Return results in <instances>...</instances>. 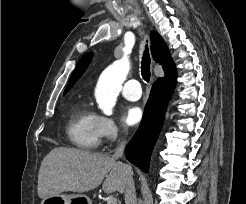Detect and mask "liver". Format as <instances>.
Masks as SVG:
<instances>
[{
    "instance_id": "1",
    "label": "liver",
    "mask_w": 246,
    "mask_h": 204,
    "mask_svg": "<svg viewBox=\"0 0 246 204\" xmlns=\"http://www.w3.org/2000/svg\"><path fill=\"white\" fill-rule=\"evenodd\" d=\"M128 177L125 164L109 155L57 147L41 162L38 195L45 199L65 191L83 193L97 188L104 179L105 193H123Z\"/></svg>"
}]
</instances>
